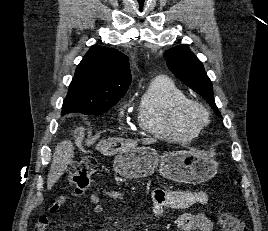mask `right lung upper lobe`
Here are the masks:
<instances>
[{
  "mask_svg": "<svg viewBox=\"0 0 268 231\" xmlns=\"http://www.w3.org/2000/svg\"><path fill=\"white\" fill-rule=\"evenodd\" d=\"M130 82L128 57L116 49L93 45L78 65L64 103L96 105L120 100Z\"/></svg>",
  "mask_w": 268,
  "mask_h": 231,
  "instance_id": "1",
  "label": "right lung upper lobe"
}]
</instances>
